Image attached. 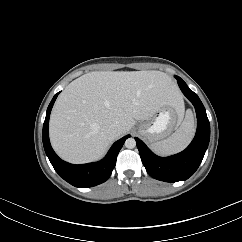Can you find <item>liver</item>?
<instances>
[{"instance_id": "obj_1", "label": "liver", "mask_w": 242, "mask_h": 242, "mask_svg": "<svg viewBox=\"0 0 242 242\" xmlns=\"http://www.w3.org/2000/svg\"><path fill=\"white\" fill-rule=\"evenodd\" d=\"M166 106L184 112L180 91L163 72H89L66 86L56 100L49 124L51 144L69 162L94 161L136 120H149ZM113 123L122 127L118 136L109 132Z\"/></svg>"}]
</instances>
